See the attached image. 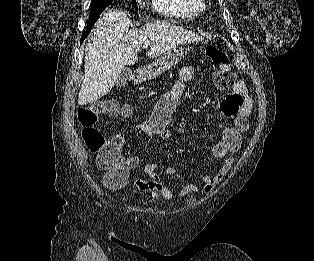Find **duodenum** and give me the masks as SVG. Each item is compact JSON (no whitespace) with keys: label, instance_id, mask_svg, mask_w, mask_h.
I'll use <instances>...</instances> for the list:
<instances>
[{"label":"duodenum","instance_id":"obj_1","mask_svg":"<svg viewBox=\"0 0 314 261\" xmlns=\"http://www.w3.org/2000/svg\"><path fill=\"white\" fill-rule=\"evenodd\" d=\"M144 80V73L142 71H139L135 74V77H134V81L139 83V82H142Z\"/></svg>","mask_w":314,"mask_h":261}]
</instances>
